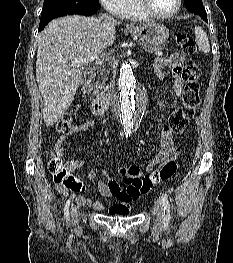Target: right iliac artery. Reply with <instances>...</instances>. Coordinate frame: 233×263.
<instances>
[{"label": "right iliac artery", "instance_id": "1", "mask_svg": "<svg viewBox=\"0 0 233 263\" xmlns=\"http://www.w3.org/2000/svg\"><path fill=\"white\" fill-rule=\"evenodd\" d=\"M128 137V133L126 134V138ZM69 206H70V200L66 202L65 208H64V214L66 220H69Z\"/></svg>", "mask_w": 233, "mask_h": 263}]
</instances>
